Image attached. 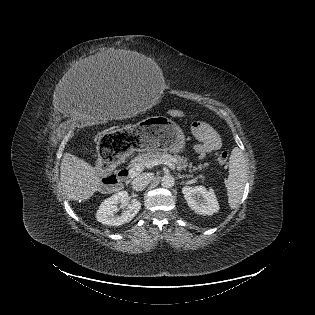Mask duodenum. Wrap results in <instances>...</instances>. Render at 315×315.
<instances>
[{
  "instance_id": "obj_1",
  "label": "duodenum",
  "mask_w": 315,
  "mask_h": 315,
  "mask_svg": "<svg viewBox=\"0 0 315 315\" xmlns=\"http://www.w3.org/2000/svg\"><path fill=\"white\" fill-rule=\"evenodd\" d=\"M129 176V171L127 169H120L117 173V180L121 182Z\"/></svg>"
}]
</instances>
